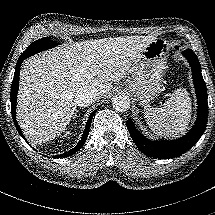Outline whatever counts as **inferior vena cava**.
Listing matches in <instances>:
<instances>
[{
  "label": "inferior vena cava",
  "instance_id": "1",
  "mask_svg": "<svg viewBox=\"0 0 215 215\" xmlns=\"http://www.w3.org/2000/svg\"><path fill=\"white\" fill-rule=\"evenodd\" d=\"M102 96L95 89L83 88L75 93V104L79 107H86Z\"/></svg>",
  "mask_w": 215,
  "mask_h": 215
}]
</instances>
